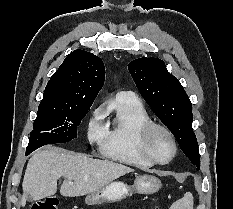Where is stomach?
<instances>
[{
	"mask_svg": "<svg viewBox=\"0 0 233 209\" xmlns=\"http://www.w3.org/2000/svg\"><path fill=\"white\" fill-rule=\"evenodd\" d=\"M161 186L162 183L159 178L153 175L143 174L136 177L132 186H128L122 181L110 182L98 191L88 194L85 197V203L93 206L103 203L117 202L131 196L133 193H155Z\"/></svg>",
	"mask_w": 233,
	"mask_h": 209,
	"instance_id": "stomach-1",
	"label": "stomach"
}]
</instances>
